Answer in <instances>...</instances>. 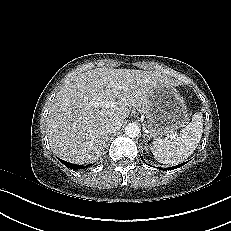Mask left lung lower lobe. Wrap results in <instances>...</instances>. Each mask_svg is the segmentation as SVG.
<instances>
[{
  "mask_svg": "<svg viewBox=\"0 0 231 231\" xmlns=\"http://www.w3.org/2000/svg\"><path fill=\"white\" fill-rule=\"evenodd\" d=\"M142 159V158H141ZM143 160V159H142ZM188 162V161H187ZM187 162H184V163H181V164H179V165H176V166H174V167H171L172 169H176V168H178V167H181V166H183L184 164H186ZM162 169V168H161ZM164 170H167V169H164Z\"/></svg>",
  "mask_w": 231,
  "mask_h": 231,
  "instance_id": "1",
  "label": "left lung lower lobe"
}]
</instances>
